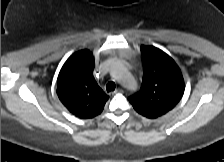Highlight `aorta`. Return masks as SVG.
Returning a JSON list of instances; mask_svg holds the SVG:
<instances>
[{"instance_id":"762f6f07","label":"aorta","mask_w":224,"mask_h":162,"mask_svg":"<svg viewBox=\"0 0 224 162\" xmlns=\"http://www.w3.org/2000/svg\"><path fill=\"white\" fill-rule=\"evenodd\" d=\"M111 75L126 88L130 90H135L137 88L135 78L121 61L117 60L112 64Z\"/></svg>"}]
</instances>
